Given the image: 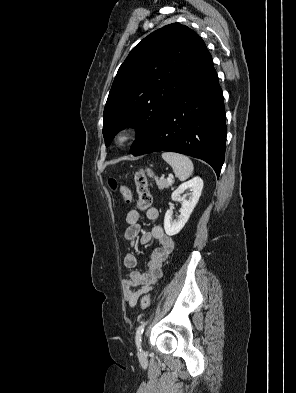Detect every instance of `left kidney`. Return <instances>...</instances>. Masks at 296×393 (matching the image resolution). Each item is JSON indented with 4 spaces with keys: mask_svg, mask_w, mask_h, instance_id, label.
Listing matches in <instances>:
<instances>
[{
    "mask_svg": "<svg viewBox=\"0 0 296 393\" xmlns=\"http://www.w3.org/2000/svg\"><path fill=\"white\" fill-rule=\"evenodd\" d=\"M190 189L192 193L189 198L186 199V195L183 197L182 209L180 210V217L177 221L172 220V211L167 210L164 218V229L167 235L174 236L178 234L187 223L193 209L199 201L201 192L203 189V180L200 177H194L193 179L182 183L173 193L172 200H176L186 190Z\"/></svg>",
    "mask_w": 296,
    "mask_h": 393,
    "instance_id": "obj_1",
    "label": "left kidney"
}]
</instances>
